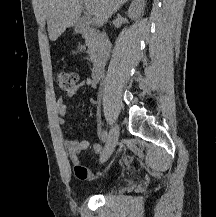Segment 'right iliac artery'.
Instances as JSON below:
<instances>
[{"mask_svg":"<svg viewBox=\"0 0 216 217\" xmlns=\"http://www.w3.org/2000/svg\"><path fill=\"white\" fill-rule=\"evenodd\" d=\"M107 139H108V134H107V131H102V133H101V140H102V142L104 143V142H106L107 141Z\"/></svg>","mask_w":216,"mask_h":217,"instance_id":"82829eb1","label":"right iliac artery"}]
</instances>
